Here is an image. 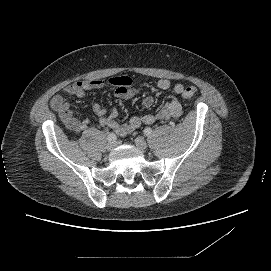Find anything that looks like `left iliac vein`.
<instances>
[{"label":"left iliac vein","mask_w":271,"mask_h":271,"mask_svg":"<svg viewBox=\"0 0 271 271\" xmlns=\"http://www.w3.org/2000/svg\"><path fill=\"white\" fill-rule=\"evenodd\" d=\"M135 145H136L139 149H142V150H144V149L147 148V143H146V141L144 140L143 137H140V136H138V137L135 138Z\"/></svg>","instance_id":"4c4485c4"}]
</instances>
